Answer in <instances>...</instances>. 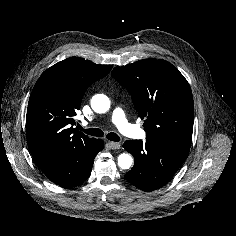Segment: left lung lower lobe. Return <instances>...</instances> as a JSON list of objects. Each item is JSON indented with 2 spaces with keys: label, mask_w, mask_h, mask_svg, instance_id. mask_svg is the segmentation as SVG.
Listing matches in <instances>:
<instances>
[{
  "label": "left lung lower lobe",
  "mask_w": 236,
  "mask_h": 236,
  "mask_svg": "<svg viewBox=\"0 0 236 236\" xmlns=\"http://www.w3.org/2000/svg\"><path fill=\"white\" fill-rule=\"evenodd\" d=\"M123 147L135 158L125 178L135 187L150 192L164 186L187 159L189 151L155 140H127Z\"/></svg>",
  "instance_id": "obj_1"
}]
</instances>
